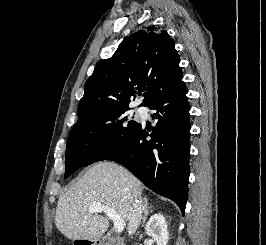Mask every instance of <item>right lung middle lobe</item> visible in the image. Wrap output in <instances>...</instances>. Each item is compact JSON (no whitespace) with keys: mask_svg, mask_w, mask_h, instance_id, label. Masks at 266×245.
<instances>
[{"mask_svg":"<svg viewBox=\"0 0 266 245\" xmlns=\"http://www.w3.org/2000/svg\"><path fill=\"white\" fill-rule=\"evenodd\" d=\"M128 110L95 112L75 123L67 140L65 179L78 168L106 160L129 145L140 123L128 116Z\"/></svg>","mask_w":266,"mask_h":245,"instance_id":"right-lung-middle-lobe-1","label":"right lung middle lobe"}]
</instances>
